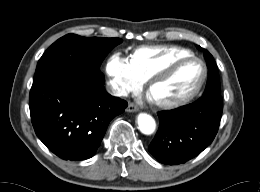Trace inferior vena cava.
<instances>
[{"label":"inferior vena cava","mask_w":260,"mask_h":192,"mask_svg":"<svg viewBox=\"0 0 260 192\" xmlns=\"http://www.w3.org/2000/svg\"><path fill=\"white\" fill-rule=\"evenodd\" d=\"M106 90L112 96L120 97L128 95V91L114 81H110L107 83Z\"/></svg>","instance_id":"1"}]
</instances>
